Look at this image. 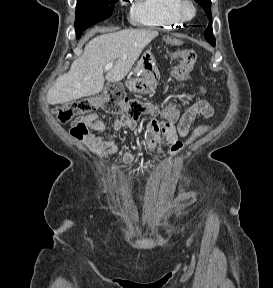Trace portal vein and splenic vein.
I'll return each mask as SVG.
<instances>
[{"mask_svg": "<svg viewBox=\"0 0 273 288\" xmlns=\"http://www.w3.org/2000/svg\"><path fill=\"white\" fill-rule=\"evenodd\" d=\"M112 66H113V62L108 63V64L105 66V70H106V71H109V70L112 68Z\"/></svg>", "mask_w": 273, "mask_h": 288, "instance_id": "portal-vein-and-splenic-vein-1", "label": "portal vein and splenic vein"}]
</instances>
